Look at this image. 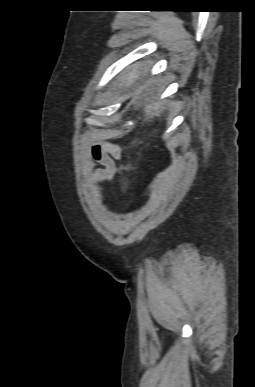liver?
Masks as SVG:
<instances>
[{
  "label": "liver",
  "mask_w": 255,
  "mask_h": 387,
  "mask_svg": "<svg viewBox=\"0 0 255 387\" xmlns=\"http://www.w3.org/2000/svg\"><path fill=\"white\" fill-rule=\"evenodd\" d=\"M139 77V72L137 71V67L134 66L128 74L124 75L122 78V84L130 85ZM151 110L154 112L151 113ZM146 112L149 113L147 119L153 118L154 116H160L161 111L159 110L158 104L149 105L146 107Z\"/></svg>",
  "instance_id": "6515ba94"
}]
</instances>
